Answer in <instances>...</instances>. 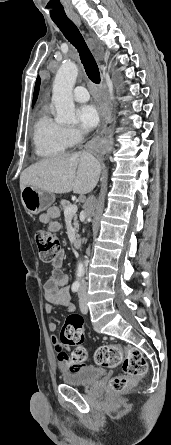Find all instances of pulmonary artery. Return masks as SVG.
Wrapping results in <instances>:
<instances>
[{"label":"pulmonary artery","mask_w":171,"mask_h":445,"mask_svg":"<svg viewBox=\"0 0 171 445\" xmlns=\"http://www.w3.org/2000/svg\"><path fill=\"white\" fill-rule=\"evenodd\" d=\"M73 97L77 102H86L90 96L87 89L83 86H77L73 91Z\"/></svg>","instance_id":"e3ab8cb5"}]
</instances>
